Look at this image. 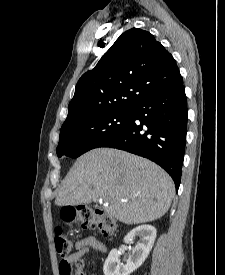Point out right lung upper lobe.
I'll list each match as a JSON object with an SVG mask.
<instances>
[{
	"mask_svg": "<svg viewBox=\"0 0 225 275\" xmlns=\"http://www.w3.org/2000/svg\"><path fill=\"white\" fill-rule=\"evenodd\" d=\"M180 82L173 56L151 33L132 28L79 79L62 127L102 112L131 110L151 94Z\"/></svg>",
	"mask_w": 225,
	"mask_h": 275,
	"instance_id": "1",
	"label": "right lung upper lobe"
}]
</instances>
